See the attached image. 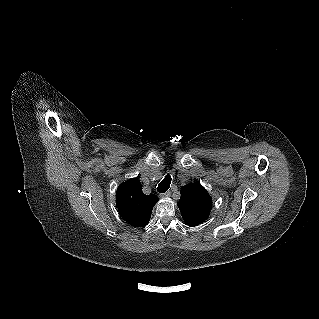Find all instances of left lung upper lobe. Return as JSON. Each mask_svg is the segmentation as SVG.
I'll return each instance as SVG.
<instances>
[{
    "label": "left lung upper lobe",
    "mask_w": 319,
    "mask_h": 319,
    "mask_svg": "<svg viewBox=\"0 0 319 319\" xmlns=\"http://www.w3.org/2000/svg\"><path fill=\"white\" fill-rule=\"evenodd\" d=\"M211 202L212 199L205 188L199 182H194L181 188L178 207L186 224L197 226L208 218Z\"/></svg>",
    "instance_id": "obj_1"
}]
</instances>
